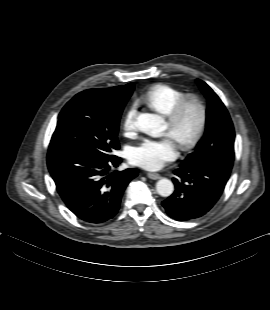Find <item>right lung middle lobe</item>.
I'll use <instances>...</instances> for the list:
<instances>
[{
  "label": "right lung middle lobe",
  "instance_id": "dd1d6c3e",
  "mask_svg": "<svg viewBox=\"0 0 270 310\" xmlns=\"http://www.w3.org/2000/svg\"><path fill=\"white\" fill-rule=\"evenodd\" d=\"M125 103L100 89L78 93L62 109L49 152H77L108 158L119 149V120Z\"/></svg>",
  "mask_w": 270,
  "mask_h": 310
}]
</instances>
